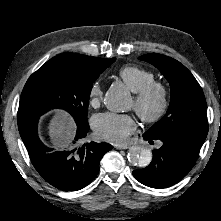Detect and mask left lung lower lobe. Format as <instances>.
Returning <instances> with one entry per match:
<instances>
[{
	"label": "left lung lower lobe",
	"instance_id": "left-lung-lower-lobe-1",
	"mask_svg": "<svg viewBox=\"0 0 221 221\" xmlns=\"http://www.w3.org/2000/svg\"><path fill=\"white\" fill-rule=\"evenodd\" d=\"M153 143L161 140L162 146L153 150V160L145 168L134 170V177L151 188H166L182 180L195 165L201 146L183 138H153L143 134Z\"/></svg>",
	"mask_w": 221,
	"mask_h": 221
}]
</instances>
